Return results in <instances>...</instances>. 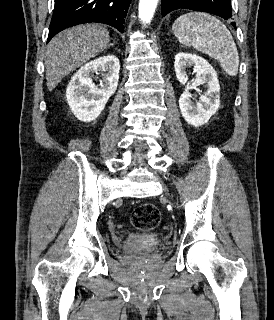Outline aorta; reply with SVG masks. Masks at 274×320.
<instances>
[{"mask_svg": "<svg viewBox=\"0 0 274 320\" xmlns=\"http://www.w3.org/2000/svg\"><path fill=\"white\" fill-rule=\"evenodd\" d=\"M159 0H140L139 18L144 24H149L153 18Z\"/></svg>", "mask_w": 274, "mask_h": 320, "instance_id": "1", "label": "aorta"}]
</instances>
